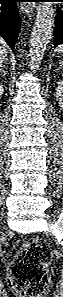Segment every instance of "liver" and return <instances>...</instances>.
Here are the masks:
<instances>
[{"label": "liver", "instance_id": "1", "mask_svg": "<svg viewBox=\"0 0 63 297\" xmlns=\"http://www.w3.org/2000/svg\"><path fill=\"white\" fill-rule=\"evenodd\" d=\"M8 51V45L4 40L0 39V65H3V63L5 62Z\"/></svg>", "mask_w": 63, "mask_h": 297}]
</instances>
